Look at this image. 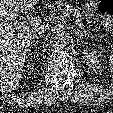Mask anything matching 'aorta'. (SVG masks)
Listing matches in <instances>:
<instances>
[{"label":"aorta","mask_w":113,"mask_h":113,"mask_svg":"<svg viewBox=\"0 0 113 113\" xmlns=\"http://www.w3.org/2000/svg\"><path fill=\"white\" fill-rule=\"evenodd\" d=\"M69 42V35L65 30L57 29L55 30L51 37L50 43L55 48H63Z\"/></svg>","instance_id":"1"}]
</instances>
